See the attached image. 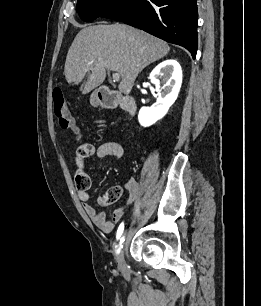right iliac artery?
Masks as SVG:
<instances>
[{"mask_svg": "<svg viewBox=\"0 0 261 306\" xmlns=\"http://www.w3.org/2000/svg\"><path fill=\"white\" fill-rule=\"evenodd\" d=\"M123 231H124V223L122 222V223L119 225V227H118V229H117V233H116V239H117V240H120L119 248L116 250V253H117V254L120 253L121 248H123V245H122V244H123V242L125 241V238H124V237L121 238V236H122V234H123Z\"/></svg>", "mask_w": 261, "mask_h": 306, "instance_id": "1", "label": "right iliac artery"}]
</instances>
